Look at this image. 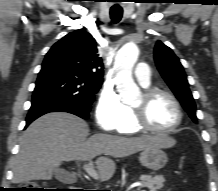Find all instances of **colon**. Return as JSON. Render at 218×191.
<instances>
[{
	"instance_id": "obj_1",
	"label": "colon",
	"mask_w": 218,
	"mask_h": 191,
	"mask_svg": "<svg viewBox=\"0 0 218 191\" xmlns=\"http://www.w3.org/2000/svg\"><path fill=\"white\" fill-rule=\"evenodd\" d=\"M20 191H47V189L37 183H31L25 185Z\"/></svg>"
}]
</instances>
